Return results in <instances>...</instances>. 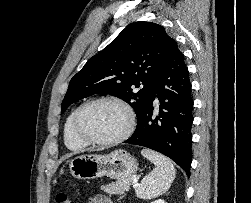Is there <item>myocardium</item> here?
<instances>
[{"label":"myocardium","mask_w":251,"mask_h":203,"mask_svg":"<svg viewBox=\"0 0 251 203\" xmlns=\"http://www.w3.org/2000/svg\"><path fill=\"white\" fill-rule=\"evenodd\" d=\"M102 102L113 103L120 106L125 111L127 115V119H128L125 130L120 135L111 139H107V140H97V139L90 138L86 136L80 129V120L84 111L88 107L97 103H102ZM135 124H136V118H135L134 111L125 101L117 97H113V96H102V97L91 99L77 108L73 117V121H72V129H73L74 135L80 141H82L83 143L87 145L112 146V145L119 144L125 141L126 139H128L135 129Z\"/></svg>","instance_id":"1"}]
</instances>
